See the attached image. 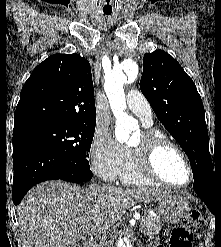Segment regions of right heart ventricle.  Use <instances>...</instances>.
Listing matches in <instances>:
<instances>
[{
    "instance_id": "obj_1",
    "label": "right heart ventricle",
    "mask_w": 221,
    "mask_h": 247,
    "mask_svg": "<svg viewBox=\"0 0 221 247\" xmlns=\"http://www.w3.org/2000/svg\"><path fill=\"white\" fill-rule=\"evenodd\" d=\"M120 181L125 185L143 186L154 184L138 167L130 150L125 147L124 159L119 173Z\"/></svg>"
}]
</instances>
